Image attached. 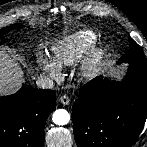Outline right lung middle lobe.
<instances>
[{
  "label": "right lung middle lobe",
  "mask_w": 147,
  "mask_h": 147,
  "mask_svg": "<svg viewBox=\"0 0 147 147\" xmlns=\"http://www.w3.org/2000/svg\"><path fill=\"white\" fill-rule=\"evenodd\" d=\"M14 28H15V25H11V26L0 29V38L2 35L8 33L9 31L13 30Z\"/></svg>",
  "instance_id": "right-lung-middle-lobe-1"
}]
</instances>
